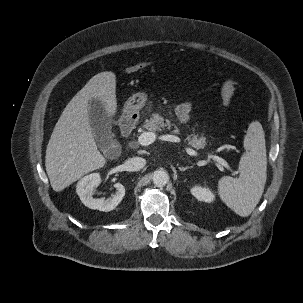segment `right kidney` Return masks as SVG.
I'll return each mask as SVG.
<instances>
[{"label": "right kidney", "instance_id": "right-kidney-1", "mask_svg": "<svg viewBox=\"0 0 303 303\" xmlns=\"http://www.w3.org/2000/svg\"><path fill=\"white\" fill-rule=\"evenodd\" d=\"M101 182V177L98 173L89 174L80 179L76 186V192L82 203L94 210L111 211L122 201L125 195V187L121 183L114 184L116 192L110 198H94L96 188Z\"/></svg>", "mask_w": 303, "mask_h": 303}]
</instances>
